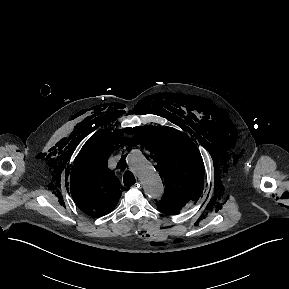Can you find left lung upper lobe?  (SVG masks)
I'll return each instance as SVG.
<instances>
[{
  "label": "left lung upper lobe",
  "mask_w": 289,
  "mask_h": 289,
  "mask_svg": "<svg viewBox=\"0 0 289 289\" xmlns=\"http://www.w3.org/2000/svg\"><path fill=\"white\" fill-rule=\"evenodd\" d=\"M157 163L155 169L165 183L157 208L167 215H176L198 201L203 191L204 164L193 141L171 127L145 126L139 137Z\"/></svg>",
  "instance_id": "1"
}]
</instances>
